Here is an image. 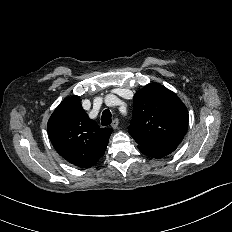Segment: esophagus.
I'll list each match as a JSON object with an SVG mask.
<instances>
[{"mask_svg": "<svg viewBox=\"0 0 232 232\" xmlns=\"http://www.w3.org/2000/svg\"><path fill=\"white\" fill-rule=\"evenodd\" d=\"M118 125H119V120H118V119H114V120L112 121L111 127H112L113 129H116V128L118 127Z\"/></svg>", "mask_w": 232, "mask_h": 232, "instance_id": "34e87169", "label": "esophagus"}]
</instances>
